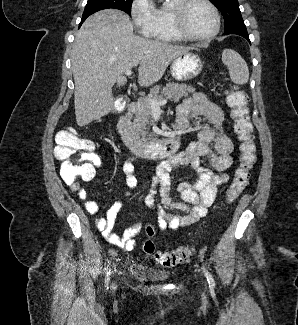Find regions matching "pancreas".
I'll return each instance as SVG.
<instances>
[{
    "label": "pancreas",
    "mask_w": 298,
    "mask_h": 325,
    "mask_svg": "<svg viewBox=\"0 0 298 325\" xmlns=\"http://www.w3.org/2000/svg\"><path fill=\"white\" fill-rule=\"evenodd\" d=\"M195 86H191V84H185V82H167L166 86H154L151 88V98H157V100H165V98H170L173 102H179L182 96H189L191 92H195ZM136 112L135 118L133 122H131L132 130L138 138V140H143V142H147V140H151V138H157V134L155 132H150V124H153L151 118L153 116V112L151 110L150 104H148L146 98H138L136 102Z\"/></svg>",
    "instance_id": "obj_1"
}]
</instances>
